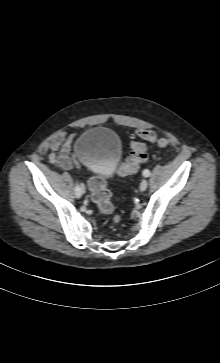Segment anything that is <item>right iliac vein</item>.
Listing matches in <instances>:
<instances>
[{
    "label": "right iliac vein",
    "mask_w": 220,
    "mask_h": 363,
    "mask_svg": "<svg viewBox=\"0 0 220 363\" xmlns=\"http://www.w3.org/2000/svg\"><path fill=\"white\" fill-rule=\"evenodd\" d=\"M81 192H82V194L85 192V187L83 184H81Z\"/></svg>",
    "instance_id": "right-iliac-vein-1"
}]
</instances>
